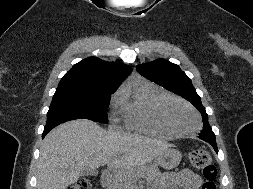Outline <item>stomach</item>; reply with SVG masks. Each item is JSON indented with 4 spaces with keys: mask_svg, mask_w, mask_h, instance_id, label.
Segmentation results:
<instances>
[{
    "mask_svg": "<svg viewBox=\"0 0 253 189\" xmlns=\"http://www.w3.org/2000/svg\"><path fill=\"white\" fill-rule=\"evenodd\" d=\"M182 155L175 148H168L156 158V164L165 169H173L177 167L181 161Z\"/></svg>",
    "mask_w": 253,
    "mask_h": 189,
    "instance_id": "obj_1",
    "label": "stomach"
}]
</instances>
